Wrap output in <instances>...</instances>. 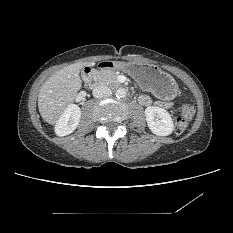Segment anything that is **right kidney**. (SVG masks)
I'll return each instance as SVG.
<instances>
[{
    "label": "right kidney",
    "instance_id": "ca27d5eb",
    "mask_svg": "<svg viewBox=\"0 0 233 233\" xmlns=\"http://www.w3.org/2000/svg\"><path fill=\"white\" fill-rule=\"evenodd\" d=\"M81 118V110L76 104H70L55 125L58 136H66L74 132Z\"/></svg>",
    "mask_w": 233,
    "mask_h": 233
}]
</instances>
